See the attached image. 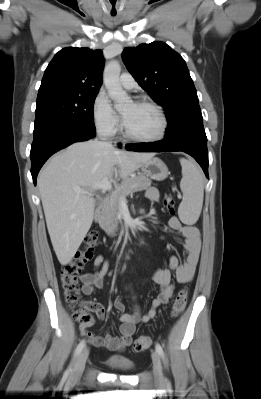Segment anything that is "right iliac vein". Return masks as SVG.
<instances>
[{
    "mask_svg": "<svg viewBox=\"0 0 261 399\" xmlns=\"http://www.w3.org/2000/svg\"><path fill=\"white\" fill-rule=\"evenodd\" d=\"M88 355L89 350L85 348L78 356L73 370L74 377H79L83 373Z\"/></svg>",
    "mask_w": 261,
    "mask_h": 399,
    "instance_id": "1",
    "label": "right iliac vein"
}]
</instances>
